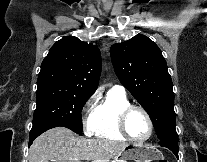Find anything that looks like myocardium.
<instances>
[{"label": "myocardium", "mask_w": 207, "mask_h": 162, "mask_svg": "<svg viewBox=\"0 0 207 162\" xmlns=\"http://www.w3.org/2000/svg\"><path fill=\"white\" fill-rule=\"evenodd\" d=\"M135 110L142 112L148 122L149 131H148V134L144 138H135V137L131 136L127 130V127H126L128 116L130 115L131 112H133ZM117 128L122 136H124L125 138H127L133 142H137V143H142V142L149 140L153 134V131H154L153 121H152L150 114L147 112V110L142 106L132 105V104L127 105L118 113Z\"/></svg>", "instance_id": "myocardium-1"}]
</instances>
